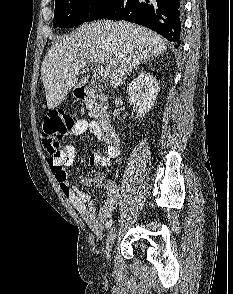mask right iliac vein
Wrapping results in <instances>:
<instances>
[{
  "instance_id": "63e3f726",
  "label": "right iliac vein",
  "mask_w": 233,
  "mask_h": 294,
  "mask_svg": "<svg viewBox=\"0 0 233 294\" xmlns=\"http://www.w3.org/2000/svg\"><path fill=\"white\" fill-rule=\"evenodd\" d=\"M117 236V229L115 226H113L108 234L107 240H106V248H105V252H106V259L109 262L110 261V257H111V249L112 246L115 242Z\"/></svg>"
}]
</instances>
